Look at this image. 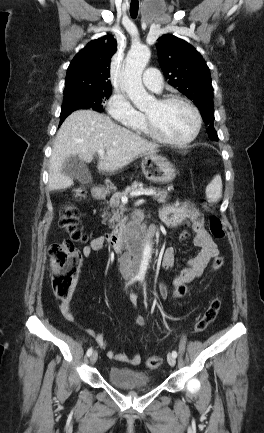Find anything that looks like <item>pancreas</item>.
Returning <instances> with one entry per match:
<instances>
[{"mask_svg":"<svg viewBox=\"0 0 264 433\" xmlns=\"http://www.w3.org/2000/svg\"><path fill=\"white\" fill-rule=\"evenodd\" d=\"M143 184L141 182H133L131 186H127L124 191L122 192H115L112 197L110 198L108 203L107 210L109 208L112 209V214H110L107 210L103 212L102 218L103 222L109 218V227L114 228L115 222H117V226H121L122 222L120 219L123 217L125 212V206L121 203V197L124 195L131 194L132 192L142 190ZM150 190H154L156 192L155 195H153L154 199L159 203H165L166 199L168 197V191L161 188L156 187H150Z\"/></svg>","mask_w":264,"mask_h":433,"instance_id":"pancreas-1","label":"pancreas"}]
</instances>
